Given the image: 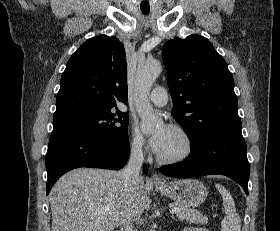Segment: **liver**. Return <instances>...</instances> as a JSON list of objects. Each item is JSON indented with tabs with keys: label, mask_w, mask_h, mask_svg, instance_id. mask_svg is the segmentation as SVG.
<instances>
[{
	"label": "liver",
	"mask_w": 280,
	"mask_h": 231,
	"mask_svg": "<svg viewBox=\"0 0 280 231\" xmlns=\"http://www.w3.org/2000/svg\"><path fill=\"white\" fill-rule=\"evenodd\" d=\"M53 231H111L140 219L151 203L144 179L126 183L121 171L78 167L62 175L50 191ZM109 207L110 211L98 213Z\"/></svg>",
	"instance_id": "obj_1"
}]
</instances>
